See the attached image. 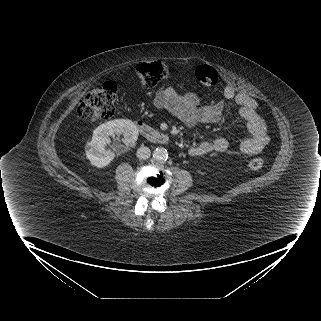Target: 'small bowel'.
Segmentation results:
<instances>
[{"instance_id": "1", "label": "small bowel", "mask_w": 321, "mask_h": 321, "mask_svg": "<svg viewBox=\"0 0 321 321\" xmlns=\"http://www.w3.org/2000/svg\"><path fill=\"white\" fill-rule=\"evenodd\" d=\"M227 100L239 106V115L246 121L250 135L241 140L240 151L246 155H255L263 150L269 141L268 129L265 120L258 112L257 101L247 93L237 92L227 87L224 92ZM155 106L167 110L171 116L177 118L187 126L196 124L218 123L224 113V103L204 106L192 92H177L166 89L159 92L154 99ZM228 141L224 137L205 140L189 148L190 155L202 157L211 152L225 153Z\"/></svg>"}]
</instances>
